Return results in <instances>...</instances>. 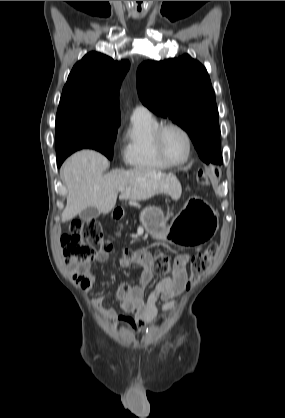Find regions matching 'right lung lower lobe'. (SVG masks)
<instances>
[{"mask_svg": "<svg viewBox=\"0 0 285 418\" xmlns=\"http://www.w3.org/2000/svg\"><path fill=\"white\" fill-rule=\"evenodd\" d=\"M64 160L65 159H57V166L60 167Z\"/></svg>", "mask_w": 285, "mask_h": 418, "instance_id": "obj_1", "label": "right lung lower lobe"}]
</instances>
